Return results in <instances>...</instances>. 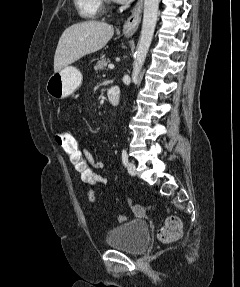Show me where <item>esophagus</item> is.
Returning a JSON list of instances; mask_svg holds the SVG:
<instances>
[{
	"label": "esophagus",
	"instance_id": "obj_1",
	"mask_svg": "<svg viewBox=\"0 0 240 287\" xmlns=\"http://www.w3.org/2000/svg\"><path fill=\"white\" fill-rule=\"evenodd\" d=\"M143 9V0H138L136 5L134 6L130 17L123 25V32L130 36L133 35L134 32L138 29L139 24L141 22Z\"/></svg>",
	"mask_w": 240,
	"mask_h": 287
}]
</instances>
